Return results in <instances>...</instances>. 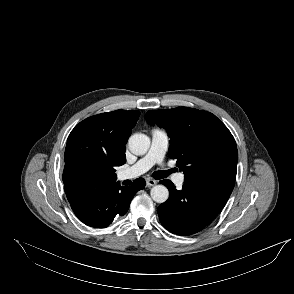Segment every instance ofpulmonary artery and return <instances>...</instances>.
Returning a JSON list of instances; mask_svg holds the SVG:
<instances>
[{"mask_svg": "<svg viewBox=\"0 0 294 294\" xmlns=\"http://www.w3.org/2000/svg\"><path fill=\"white\" fill-rule=\"evenodd\" d=\"M151 135V145L148 152L132 166L122 169L118 174L119 179L126 180L138 177L155 164H162L169 147L168 133L164 129L155 128L152 130ZM173 180L176 185H183L184 174H174Z\"/></svg>", "mask_w": 294, "mask_h": 294, "instance_id": "1", "label": "pulmonary artery"}]
</instances>
